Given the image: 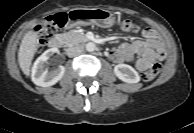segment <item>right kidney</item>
Wrapping results in <instances>:
<instances>
[{
	"mask_svg": "<svg viewBox=\"0 0 194 133\" xmlns=\"http://www.w3.org/2000/svg\"><path fill=\"white\" fill-rule=\"evenodd\" d=\"M56 52L57 49L55 48L48 49L34 62L31 72V79L37 86H52L63 77L65 73V68L63 66H58V68L52 71H49L46 68L47 60Z\"/></svg>",
	"mask_w": 194,
	"mask_h": 133,
	"instance_id": "obj_1",
	"label": "right kidney"
}]
</instances>
